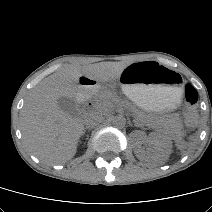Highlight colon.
<instances>
[{"mask_svg":"<svg viewBox=\"0 0 212 212\" xmlns=\"http://www.w3.org/2000/svg\"><path fill=\"white\" fill-rule=\"evenodd\" d=\"M182 101L185 108V122L193 126L198 120V93L194 87L189 84L184 86Z\"/></svg>","mask_w":212,"mask_h":212,"instance_id":"1","label":"colon"}]
</instances>
